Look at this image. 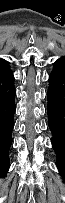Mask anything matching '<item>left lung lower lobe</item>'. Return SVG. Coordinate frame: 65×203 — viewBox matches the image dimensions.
<instances>
[{"instance_id":"0a47b994","label":"left lung lower lobe","mask_w":65,"mask_h":203,"mask_svg":"<svg viewBox=\"0 0 65 203\" xmlns=\"http://www.w3.org/2000/svg\"><path fill=\"white\" fill-rule=\"evenodd\" d=\"M48 124L52 132V146L57 155V168L65 180V57L54 63L49 77Z\"/></svg>"}]
</instances>
